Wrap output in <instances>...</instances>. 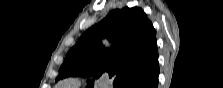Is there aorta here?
<instances>
[{"label": "aorta", "instance_id": "obj_1", "mask_svg": "<svg viewBox=\"0 0 223 88\" xmlns=\"http://www.w3.org/2000/svg\"><path fill=\"white\" fill-rule=\"evenodd\" d=\"M104 45H105L106 47H108V46H109V43H108L107 41H104Z\"/></svg>", "mask_w": 223, "mask_h": 88}]
</instances>
